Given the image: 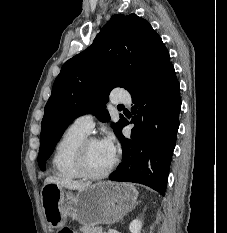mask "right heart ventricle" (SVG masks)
Instances as JSON below:
<instances>
[{"instance_id":"1","label":"right heart ventricle","mask_w":227,"mask_h":233,"mask_svg":"<svg viewBox=\"0 0 227 233\" xmlns=\"http://www.w3.org/2000/svg\"><path fill=\"white\" fill-rule=\"evenodd\" d=\"M88 134L70 126L58 141L52 158V166L57 176L66 180L81 178L75 168V154L79 144Z\"/></svg>"}]
</instances>
